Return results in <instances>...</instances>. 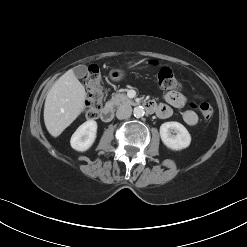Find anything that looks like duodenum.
<instances>
[{"label": "duodenum", "mask_w": 247, "mask_h": 247, "mask_svg": "<svg viewBox=\"0 0 247 247\" xmlns=\"http://www.w3.org/2000/svg\"><path fill=\"white\" fill-rule=\"evenodd\" d=\"M144 107L150 113L157 112V106L153 102H146L144 104ZM113 115H114L113 106L111 104H107L101 112V119L104 122H109L112 120Z\"/></svg>", "instance_id": "1"}]
</instances>
